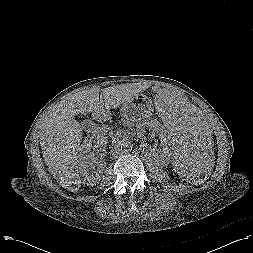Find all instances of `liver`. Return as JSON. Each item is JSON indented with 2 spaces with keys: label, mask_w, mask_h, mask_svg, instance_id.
<instances>
[{
  "label": "liver",
  "mask_w": 253,
  "mask_h": 253,
  "mask_svg": "<svg viewBox=\"0 0 253 253\" xmlns=\"http://www.w3.org/2000/svg\"><path fill=\"white\" fill-rule=\"evenodd\" d=\"M148 88L142 83H127L100 90L93 87L60 101L40 126V145L45 164L57 182L71 192H78L81 180L78 151L83 126L75 119L79 113L98 116L134 100ZM160 92V91H159Z\"/></svg>",
  "instance_id": "liver-1"
}]
</instances>
